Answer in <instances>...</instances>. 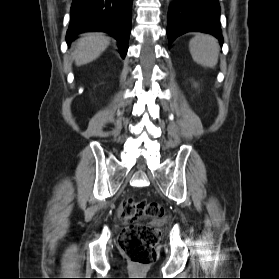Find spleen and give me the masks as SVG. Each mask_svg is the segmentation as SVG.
Here are the masks:
<instances>
[{"mask_svg":"<svg viewBox=\"0 0 279 279\" xmlns=\"http://www.w3.org/2000/svg\"><path fill=\"white\" fill-rule=\"evenodd\" d=\"M189 50L193 60L209 68H214L218 63L220 46L216 38L198 33L190 40Z\"/></svg>","mask_w":279,"mask_h":279,"instance_id":"spleen-1","label":"spleen"}]
</instances>
